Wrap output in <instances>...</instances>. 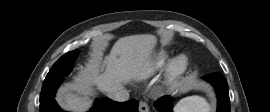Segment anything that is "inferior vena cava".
I'll return each mask as SVG.
<instances>
[{
	"instance_id": "602c4592",
	"label": "inferior vena cava",
	"mask_w": 270,
	"mask_h": 112,
	"mask_svg": "<svg viewBox=\"0 0 270 112\" xmlns=\"http://www.w3.org/2000/svg\"><path fill=\"white\" fill-rule=\"evenodd\" d=\"M109 98L117 102H124L128 100L129 93L126 89H121L108 94Z\"/></svg>"
}]
</instances>
